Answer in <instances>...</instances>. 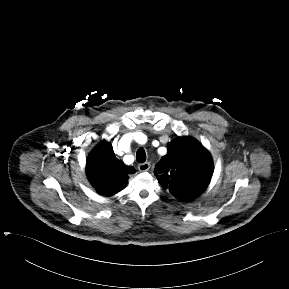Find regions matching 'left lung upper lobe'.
Here are the masks:
<instances>
[{
    "label": "left lung upper lobe",
    "mask_w": 289,
    "mask_h": 289,
    "mask_svg": "<svg viewBox=\"0 0 289 289\" xmlns=\"http://www.w3.org/2000/svg\"><path fill=\"white\" fill-rule=\"evenodd\" d=\"M167 149L154 171L161 186L181 201L200 195L213 174L209 152L190 137L172 140Z\"/></svg>",
    "instance_id": "5c2ea615"
}]
</instances>
